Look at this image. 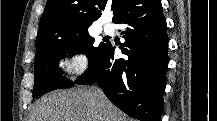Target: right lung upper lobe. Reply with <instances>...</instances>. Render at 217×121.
<instances>
[{
  "label": "right lung upper lobe",
  "instance_id": "cb5924a9",
  "mask_svg": "<svg viewBox=\"0 0 217 121\" xmlns=\"http://www.w3.org/2000/svg\"><path fill=\"white\" fill-rule=\"evenodd\" d=\"M139 0H112L113 22ZM108 0H48L42 15L36 46L62 39L89 27L101 17Z\"/></svg>",
  "mask_w": 217,
  "mask_h": 121
}]
</instances>
